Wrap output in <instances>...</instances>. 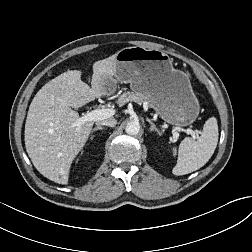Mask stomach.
<instances>
[{
    "mask_svg": "<svg viewBox=\"0 0 252 252\" xmlns=\"http://www.w3.org/2000/svg\"><path fill=\"white\" fill-rule=\"evenodd\" d=\"M117 82L129 83L169 124L185 127L199 115V101L188 76L174 69L172 58L161 50L134 46L118 51L115 74L104 79L108 95L114 93Z\"/></svg>",
    "mask_w": 252,
    "mask_h": 252,
    "instance_id": "1",
    "label": "stomach"
}]
</instances>
